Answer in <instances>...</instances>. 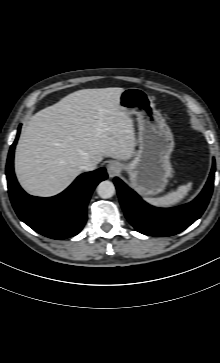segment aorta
<instances>
[{
    "label": "aorta",
    "instance_id": "obj_1",
    "mask_svg": "<svg viewBox=\"0 0 220 363\" xmlns=\"http://www.w3.org/2000/svg\"><path fill=\"white\" fill-rule=\"evenodd\" d=\"M97 193L101 198H111L115 194V186L111 181H102L97 186Z\"/></svg>",
    "mask_w": 220,
    "mask_h": 363
}]
</instances>
